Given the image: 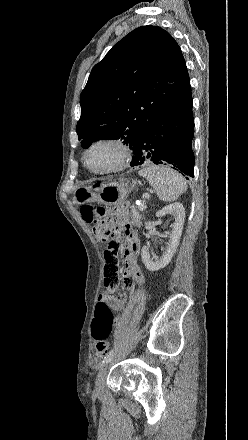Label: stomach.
<instances>
[{"label": "stomach", "instance_id": "obj_1", "mask_svg": "<svg viewBox=\"0 0 248 440\" xmlns=\"http://www.w3.org/2000/svg\"><path fill=\"white\" fill-rule=\"evenodd\" d=\"M131 190L132 187L119 183H108L99 189L83 186L74 191L73 201L75 204L98 201L111 206L123 202Z\"/></svg>", "mask_w": 248, "mask_h": 440}]
</instances>
